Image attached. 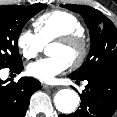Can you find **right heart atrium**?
<instances>
[{"mask_svg": "<svg viewBox=\"0 0 117 117\" xmlns=\"http://www.w3.org/2000/svg\"><path fill=\"white\" fill-rule=\"evenodd\" d=\"M17 46L21 54L27 58H34L44 47L38 35L31 30L24 29L17 36Z\"/></svg>", "mask_w": 117, "mask_h": 117, "instance_id": "obj_1", "label": "right heart atrium"}]
</instances>
